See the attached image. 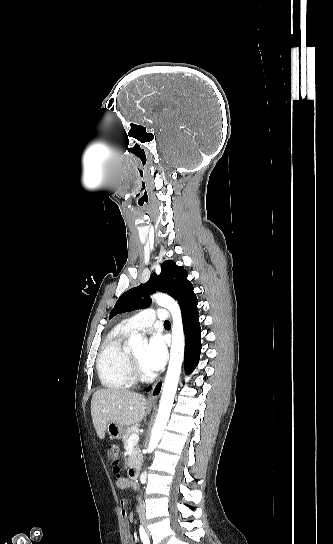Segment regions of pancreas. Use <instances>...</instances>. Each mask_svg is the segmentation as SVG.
I'll return each instance as SVG.
<instances>
[{"instance_id":"1","label":"pancreas","mask_w":333,"mask_h":544,"mask_svg":"<svg viewBox=\"0 0 333 544\" xmlns=\"http://www.w3.org/2000/svg\"><path fill=\"white\" fill-rule=\"evenodd\" d=\"M138 429H139V425L138 424H135L131 427H128L127 429H125V432L122 436V441L124 443V447L127 448L128 446V439L129 437L134 434V433H137L138 432ZM140 455V449L138 446L134 447L133 448V451H132V454L128 457L127 459V465L130 466L132 465L139 457Z\"/></svg>"}]
</instances>
